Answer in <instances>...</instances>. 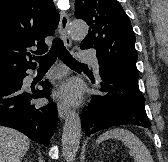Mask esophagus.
I'll return each mask as SVG.
<instances>
[{
	"mask_svg": "<svg viewBox=\"0 0 168 162\" xmlns=\"http://www.w3.org/2000/svg\"><path fill=\"white\" fill-rule=\"evenodd\" d=\"M69 17L65 12L60 13L59 31L64 43L71 46V38L68 33ZM69 114V107L63 103H58V115L61 120L65 119Z\"/></svg>",
	"mask_w": 168,
	"mask_h": 162,
	"instance_id": "1",
	"label": "esophagus"
}]
</instances>
